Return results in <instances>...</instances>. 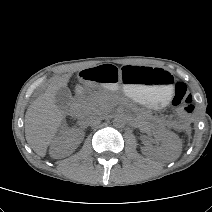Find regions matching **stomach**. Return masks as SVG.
<instances>
[{"label":"stomach","instance_id":"0dacf381","mask_svg":"<svg viewBox=\"0 0 212 212\" xmlns=\"http://www.w3.org/2000/svg\"><path fill=\"white\" fill-rule=\"evenodd\" d=\"M85 82H94L117 90L134 100L159 109L165 106L172 94L173 77L161 67L100 64L85 67L80 72Z\"/></svg>","mask_w":212,"mask_h":212}]
</instances>
